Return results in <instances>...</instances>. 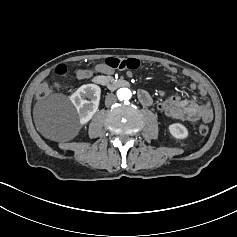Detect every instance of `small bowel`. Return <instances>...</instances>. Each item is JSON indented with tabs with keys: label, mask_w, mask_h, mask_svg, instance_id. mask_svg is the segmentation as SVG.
Instances as JSON below:
<instances>
[{
	"label": "small bowel",
	"mask_w": 237,
	"mask_h": 237,
	"mask_svg": "<svg viewBox=\"0 0 237 237\" xmlns=\"http://www.w3.org/2000/svg\"><path fill=\"white\" fill-rule=\"evenodd\" d=\"M167 71L170 73H176L177 68L174 66H167ZM114 69L107 66L105 63L96 65L94 70H79L77 72V77L79 79L90 78L94 73L111 74ZM187 76L192 75L188 71H184ZM190 88L192 90H198L202 98H206L207 90L193 78L190 83ZM137 97L139 102L146 107H150L154 104L153 97L151 94L143 89L138 90ZM157 109L164 113L167 117L173 120L186 121L192 125L198 123L199 121L210 122L213 119V111L211 104L208 101L198 103L193 100L184 99L180 96H172L166 100L160 101L156 104Z\"/></svg>",
	"instance_id": "c3829d8e"
}]
</instances>
